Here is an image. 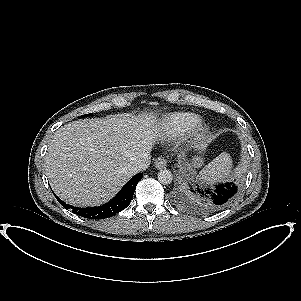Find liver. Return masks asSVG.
I'll return each mask as SVG.
<instances>
[{"mask_svg":"<svg viewBox=\"0 0 301 301\" xmlns=\"http://www.w3.org/2000/svg\"><path fill=\"white\" fill-rule=\"evenodd\" d=\"M152 118L114 115L73 121L57 130L45 157L56 195L80 207L108 202L134 175L130 170L161 138Z\"/></svg>","mask_w":301,"mask_h":301,"instance_id":"liver-1","label":"liver"}]
</instances>
